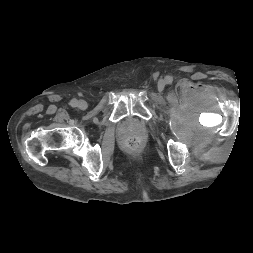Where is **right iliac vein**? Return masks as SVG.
I'll return each instance as SVG.
<instances>
[{
    "label": "right iliac vein",
    "instance_id": "obj_1",
    "mask_svg": "<svg viewBox=\"0 0 253 253\" xmlns=\"http://www.w3.org/2000/svg\"><path fill=\"white\" fill-rule=\"evenodd\" d=\"M78 107L81 110H85L87 108V103L84 100H80L78 103Z\"/></svg>",
    "mask_w": 253,
    "mask_h": 253
}]
</instances>
